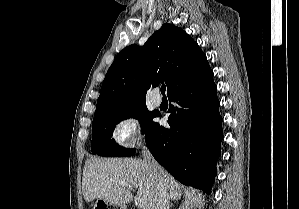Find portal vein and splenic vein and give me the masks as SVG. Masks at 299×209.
<instances>
[{
  "label": "portal vein and splenic vein",
  "instance_id": "obj_1",
  "mask_svg": "<svg viewBox=\"0 0 299 209\" xmlns=\"http://www.w3.org/2000/svg\"><path fill=\"white\" fill-rule=\"evenodd\" d=\"M119 184H120V185H123V186H127L126 182H124V181H119ZM129 188L131 189L130 186H129Z\"/></svg>",
  "mask_w": 299,
  "mask_h": 209
}]
</instances>
